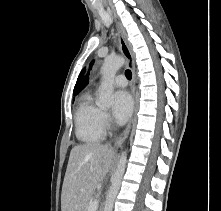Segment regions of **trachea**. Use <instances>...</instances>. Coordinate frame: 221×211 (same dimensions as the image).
Instances as JSON below:
<instances>
[{"label":"trachea","instance_id":"obj_1","mask_svg":"<svg viewBox=\"0 0 221 211\" xmlns=\"http://www.w3.org/2000/svg\"><path fill=\"white\" fill-rule=\"evenodd\" d=\"M125 76L127 77L128 80H131V78H132V73H131V71H130V70H126V71H125Z\"/></svg>","mask_w":221,"mask_h":211}]
</instances>
